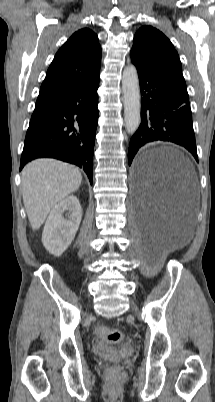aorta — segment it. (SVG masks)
<instances>
[{
	"mask_svg": "<svg viewBox=\"0 0 215 402\" xmlns=\"http://www.w3.org/2000/svg\"><path fill=\"white\" fill-rule=\"evenodd\" d=\"M122 90L125 128L129 134H134L141 122V102L138 74L133 65L123 71Z\"/></svg>",
	"mask_w": 215,
	"mask_h": 402,
	"instance_id": "obj_1",
	"label": "aorta"
}]
</instances>
